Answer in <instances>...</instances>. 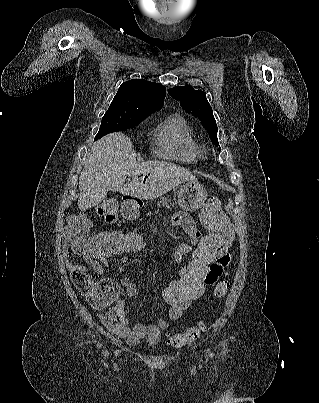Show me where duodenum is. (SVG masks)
Here are the masks:
<instances>
[{"label":"duodenum","instance_id":"410a0bca","mask_svg":"<svg viewBox=\"0 0 319 403\" xmlns=\"http://www.w3.org/2000/svg\"><path fill=\"white\" fill-rule=\"evenodd\" d=\"M124 203L122 206V213L125 217L131 218L139 207L138 201L131 197H123Z\"/></svg>","mask_w":319,"mask_h":403}]
</instances>
